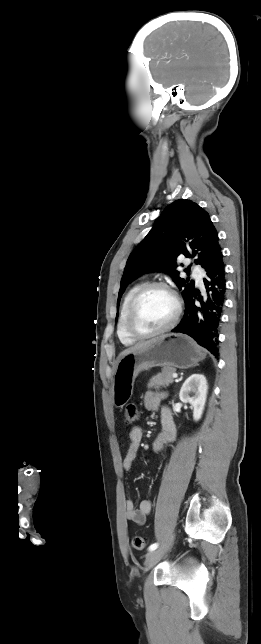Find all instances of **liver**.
I'll return each mask as SVG.
<instances>
[{"label":"liver","mask_w":261,"mask_h":644,"mask_svg":"<svg viewBox=\"0 0 261 644\" xmlns=\"http://www.w3.org/2000/svg\"><path fill=\"white\" fill-rule=\"evenodd\" d=\"M155 340H156V339H152V340H149V341H146V342H142V343L136 344L135 346H133V347H131V348H128V349L124 350V351L121 353V356L123 357L124 355H126V354H128V353H131V352H134V351H136V350H139V349L145 348V347L149 346L150 344H152Z\"/></svg>","instance_id":"6515ba94"}]
</instances>
